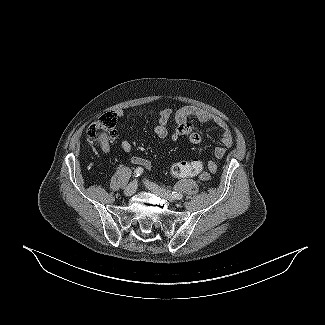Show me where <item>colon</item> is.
Masks as SVG:
<instances>
[{"mask_svg": "<svg viewBox=\"0 0 325 325\" xmlns=\"http://www.w3.org/2000/svg\"><path fill=\"white\" fill-rule=\"evenodd\" d=\"M116 114L108 112L103 114L87 130V141L91 145H100L102 148L109 145L116 136ZM203 169L199 160L179 161L170 167L173 177H189L198 174Z\"/></svg>", "mask_w": 325, "mask_h": 325, "instance_id": "1", "label": "colon"}]
</instances>
